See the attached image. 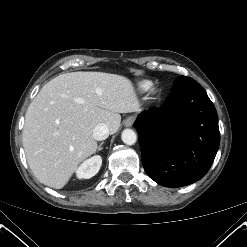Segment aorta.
Here are the masks:
<instances>
[{
	"label": "aorta",
	"mask_w": 247,
	"mask_h": 247,
	"mask_svg": "<svg viewBox=\"0 0 247 247\" xmlns=\"http://www.w3.org/2000/svg\"><path fill=\"white\" fill-rule=\"evenodd\" d=\"M121 139L126 145H133L137 140V136L132 129H125L121 134Z\"/></svg>",
	"instance_id": "762f6f07"
}]
</instances>
